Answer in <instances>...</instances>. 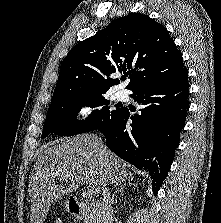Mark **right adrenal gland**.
Masks as SVG:
<instances>
[{
  "label": "right adrenal gland",
  "instance_id": "2a0ac1e0",
  "mask_svg": "<svg viewBox=\"0 0 221 223\" xmlns=\"http://www.w3.org/2000/svg\"><path fill=\"white\" fill-rule=\"evenodd\" d=\"M132 179L128 180L127 184L124 183L123 185L119 186V188L116 189V191L112 194V198H111V204L114 205L115 204V196L116 194L122 192L126 186H135L134 183L131 182Z\"/></svg>",
  "mask_w": 221,
  "mask_h": 223
}]
</instances>
